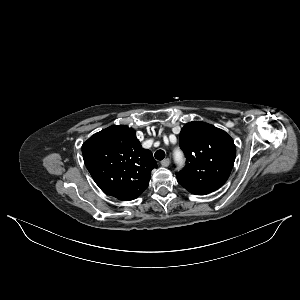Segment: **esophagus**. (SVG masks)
<instances>
[{"mask_svg":"<svg viewBox=\"0 0 300 300\" xmlns=\"http://www.w3.org/2000/svg\"><path fill=\"white\" fill-rule=\"evenodd\" d=\"M160 163L163 167H168L170 164V160L168 158H166V159L162 160Z\"/></svg>","mask_w":300,"mask_h":300,"instance_id":"esophagus-1","label":"esophagus"}]
</instances>
